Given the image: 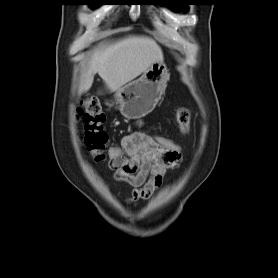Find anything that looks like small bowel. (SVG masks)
I'll return each mask as SVG.
<instances>
[{
  "label": "small bowel",
  "instance_id": "1",
  "mask_svg": "<svg viewBox=\"0 0 278 278\" xmlns=\"http://www.w3.org/2000/svg\"><path fill=\"white\" fill-rule=\"evenodd\" d=\"M122 156L108 160V168L117 182L133 187L129 202L148 199L161 186L168 170L176 167L181 155L167 152L156 140L134 131L121 140Z\"/></svg>",
  "mask_w": 278,
  "mask_h": 278
}]
</instances>
